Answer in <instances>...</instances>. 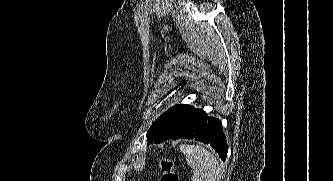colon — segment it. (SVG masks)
<instances>
[{"mask_svg": "<svg viewBox=\"0 0 333 181\" xmlns=\"http://www.w3.org/2000/svg\"><path fill=\"white\" fill-rule=\"evenodd\" d=\"M161 181H179L174 169V163L170 158H162L159 162Z\"/></svg>", "mask_w": 333, "mask_h": 181, "instance_id": "colon-1", "label": "colon"}]
</instances>
